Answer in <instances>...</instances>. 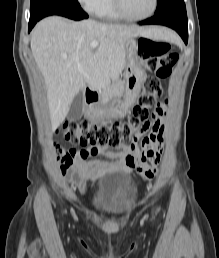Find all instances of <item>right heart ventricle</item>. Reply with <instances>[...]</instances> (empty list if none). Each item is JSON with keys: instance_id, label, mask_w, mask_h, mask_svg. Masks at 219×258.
Masks as SVG:
<instances>
[{"instance_id": "1", "label": "right heart ventricle", "mask_w": 219, "mask_h": 258, "mask_svg": "<svg viewBox=\"0 0 219 258\" xmlns=\"http://www.w3.org/2000/svg\"><path fill=\"white\" fill-rule=\"evenodd\" d=\"M96 14L105 19H118L120 17L114 8L113 0H104Z\"/></svg>"}]
</instances>
